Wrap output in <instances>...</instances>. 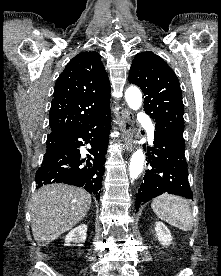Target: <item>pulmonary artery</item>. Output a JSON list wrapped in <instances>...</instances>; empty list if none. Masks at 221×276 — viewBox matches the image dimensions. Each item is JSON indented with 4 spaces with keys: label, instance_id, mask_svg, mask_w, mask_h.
Here are the masks:
<instances>
[{
    "label": "pulmonary artery",
    "instance_id": "e3ab8cb5",
    "mask_svg": "<svg viewBox=\"0 0 221 276\" xmlns=\"http://www.w3.org/2000/svg\"><path fill=\"white\" fill-rule=\"evenodd\" d=\"M140 119L141 120H144L146 119V116L144 114H140ZM147 131H148V135L151 139L154 138V128H153V125L152 124H147Z\"/></svg>",
    "mask_w": 221,
    "mask_h": 276
}]
</instances>
